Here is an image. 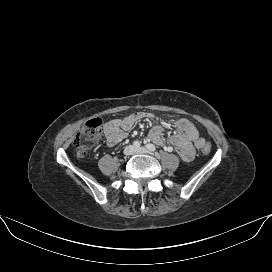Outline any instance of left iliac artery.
Returning a JSON list of instances; mask_svg holds the SVG:
<instances>
[{"mask_svg":"<svg viewBox=\"0 0 272 272\" xmlns=\"http://www.w3.org/2000/svg\"><path fill=\"white\" fill-rule=\"evenodd\" d=\"M146 148H147L149 151H151V152H155V151H156V147H155L153 144H151V143H148V144L146 145Z\"/></svg>","mask_w":272,"mask_h":272,"instance_id":"1","label":"left iliac artery"}]
</instances>
